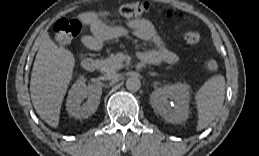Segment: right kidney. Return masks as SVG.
<instances>
[{"mask_svg":"<svg viewBox=\"0 0 259 156\" xmlns=\"http://www.w3.org/2000/svg\"><path fill=\"white\" fill-rule=\"evenodd\" d=\"M102 88L97 84L86 85V78L80 76L72 85L66 101L68 113L76 119L91 116L99 106ZM84 99H87L84 102Z\"/></svg>","mask_w":259,"mask_h":156,"instance_id":"right-kidney-1","label":"right kidney"}]
</instances>
